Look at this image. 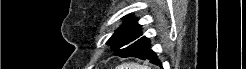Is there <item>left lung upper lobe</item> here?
Returning <instances> with one entry per match:
<instances>
[{"label": "left lung upper lobe", "mask_w": 246, "mask_h": 69, "mask_svg": "<svg viewBox=\"0 0 246 69\" xmlns=\"http://www.w3.org/2000/svg\"><path fill=\"white\" fill-rule=\"evenodd\" d=\"M137 20L130 19L126 21L107 41V44L111 46L113 51L130 45L142 35L141 26L137 23Z\"/></svg>", "instance_id": "obj_1"}]
</instances>
